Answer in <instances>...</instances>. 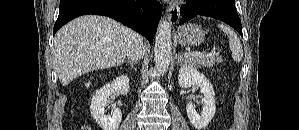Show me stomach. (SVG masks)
<instances>
[{"instance_id":"0dacf381","label":"stomach","mask_w":299,"mask_h":130,"mask_svg":"<svg viewBox=\"0 0 299 130\" xmlns=\"http://www.w3.org/2000/svg\"><path fill=\"white\" fill-rule=\"evenodd\" d=\"M178 42L183 46H197L205 39V31L197 24L188 23L176 32Z\"/></svg>"}]
</instances>
